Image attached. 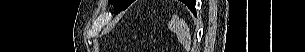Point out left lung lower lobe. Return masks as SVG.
<instances>
[{"label": "left lung lower lobe", "instance_id": "left-lung-lower-lobe-1", "mask_svg": "<svg viewBox=\"0 0 305 52\" xmlns=\"http://www.w3.org/2000/svg\"><path fill=\"white\" fill-rule=\"evenodd\" d=\"M188 7L191 9V11H192L194 14H196V11H195V1H193Z\"/></svg>", "mask_w": 305, "mask_h": 52}]
</instances>
